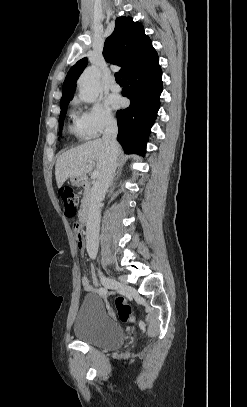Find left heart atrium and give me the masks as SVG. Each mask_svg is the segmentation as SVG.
Listing matches in <instances>:
<instances>
[{
	"label": "left heart atrium",
	"mask_w": 247,
	"mask_h": 407,
	"mask_svg": "<svg viewBox=\"0 0 247 407\" xmlns=\"http://www.w3.org/2000/svg\"><path fill=\"white\" fill-rule=\"evenodd\" d=\"M106 103L110 108H118L121 104V101L118 97L112 96L107 99Z\"/></svg>",
	"instance_id": "obj_1"
}]
</instances>
